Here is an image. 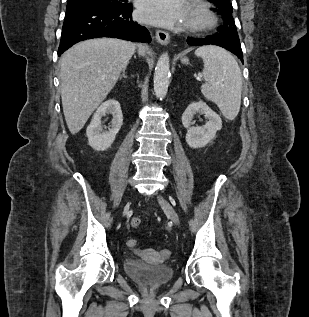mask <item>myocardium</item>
Returning a JSON list of instances; mask_svg holds the SVG:
<instances>
[{
    "label": "myocardium",
    "mask_w": 309,
    "mask_h": 317,
    "mask_svg": "<svg viewBox=\"0 0 309 317\" xmlns=\"http://www.w3.org/2000/svg\"><path fill=\"white\" fill-rule=\"evenodd\" d=\"M190 11L192 19L186 22L185 29L190 33H204L217 24V16L211 6L202 0H193Z\"/></svg>",
    "instance_id": "obj_1"
}]
</instances>
